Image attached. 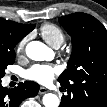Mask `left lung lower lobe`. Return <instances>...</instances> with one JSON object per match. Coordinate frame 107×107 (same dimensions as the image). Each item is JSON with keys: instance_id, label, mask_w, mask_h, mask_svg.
<instances>
[{"instance_id": "obj_1", "label": "left lung lower lobe", "mask_w": 107, "mask_h": 107, "mask_svg": "<svg viewBox=\"0 0 107 107\" xmlns=\"http://www.w3.org/2000/svg\"><path fill=\"white\" fill-rule=\"evenodd\" d=\"M65 89V88H64ZM67 95L61 98L59 107H71L74 98L72 91L65 89ZM80 107H107V81L99 79L94 83H83Z\"/></svg>"}]
</instances>
